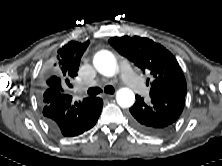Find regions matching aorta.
Wrapping results in <instances>:
<instances>
[{
  "instance_id": "obj_1",
  "label": "aorta",
  "mask_w": 222,
  "mask_h": 166,
  "mask_svg": "<svg viewBox=\"0 0 222 166\" xmlns=\"http://www.w3.org/2000/svg\"><path fill=\"white\" fill-rule=\"evenodd\" d=\"M94 66L102 75L112 77L117 70L114 55L106 50L98 52L94 57ZM116 101L122 108L131 107L135 102V95L128 88H121L116 93Z\"/></svg>"
}]
</instances>
